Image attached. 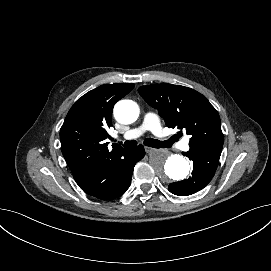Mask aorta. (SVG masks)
<instances>
[{"label": "aorta", "instance_id": "aorta-1", "mask_svg": "<svg viewBox=\"0 0 271 271\" xmlns=\"http://www.w3.org/2000/svg\"><path fill=\"white\" fill-rule=\"evenodd\" d=\"M114 116L122 124H131L139 116V107L132 100H121L114 107ZM150 165L163 180H183L190 172L187 159L167 151H155L150 155Z\"/></svg>", "mask_w": 271, "mask_h": 271}]
</instances>
